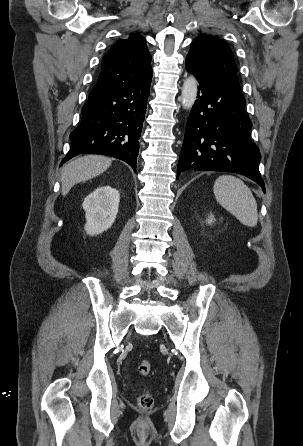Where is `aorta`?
I'll return each mask as SVG.
<instances>
[{
    "instance_id": "1",
    "label": "aorta",
    "mask_w": 303,
    "mask_h": 446,
    "mask_svg": "<svg viewBox=\"0 0 303 446\" xmlns=\"http://www.w3.org/2000/svg\"><path fill=\"white\" fill-rule=\"evenodd\" d=\"M198 82L194 77H188L182 87L181 104L184 109H191L197 98Z\"/></svg>"
}]
</instances>
